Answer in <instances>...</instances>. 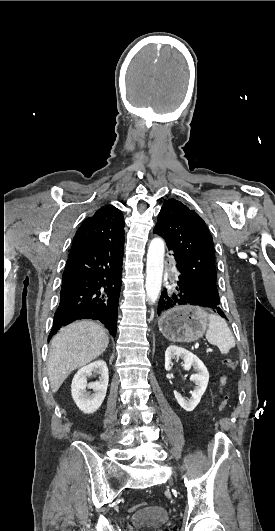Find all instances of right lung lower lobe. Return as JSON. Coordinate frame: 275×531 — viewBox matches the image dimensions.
<instances>
[{
	"instance_id": "right-lung-lower-lobe-1",
	"label": "right lung lower lobe",
	"mask_w": 275,
	"mask_h": 531,
	"mask_svg": "<svg viewBox=\"0 0 275 531\" xmlns=\"http://www.w3.org/2000/svg\"><path fill=\"white\" fill-rule=\"evenodd\" d=\"M123 245L124 241H104L70 252L48 340L78 319L99 320L116 336Z\"/></svg>"
}]
</instances>
